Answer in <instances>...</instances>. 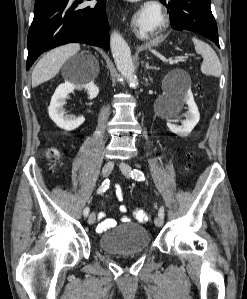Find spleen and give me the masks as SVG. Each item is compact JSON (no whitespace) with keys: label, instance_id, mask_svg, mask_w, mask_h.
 Masks as SVG:
<instances>
[{"label":"spleen","instance_id":"spleen-1","mask_svg":"<svg viewBox=\"0 0 247 299\" xmlns=\"http://www.w3.org/2000/svg\"><path fill=\"white\" fill-rule=\"evenodd\" d=\"M192 41L195 51L203 57L201 72L207 76L219 77L222 70L221 63L212 47L197 38H192Z\"/></svg>","mask_w":247,"mask_h":299}]
</instances>
